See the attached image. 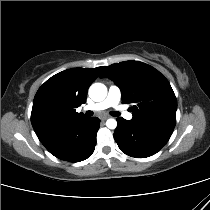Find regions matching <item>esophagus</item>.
I'll return each mask as SVG.
<instances>
[{
    "label": "esophagus",
    "instance_id": "1",
    "mask_svg": "<svg viewBox=\"0 0 210 210\" xmlns=\"http://www.w3.org/2000/svg\"><path fill=\"white\" fill-rule=\"evenodd\" d=\"M108 118H109V116H107V115L101 116V120H102V121L107 120Z\"/></svg>",
    "mask_w": 210,
    "mask_h": 210
}]
</instances>
